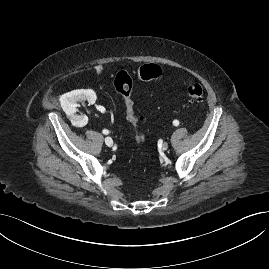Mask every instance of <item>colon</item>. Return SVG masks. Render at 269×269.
Segmentation results:
<instances>
[{"label": "colon", "instance_id": "obj_1", "mask_svg": "<svg viewBox=\"0 0 269 269\" xmlns=\"http://www.w3.org/2000/svg\"><path fill=\"white\" fill-rule=\"evenodd\" d=\"M162 75V70L157 65H145L139 70V77L143 80L157 79ZM115 89L121 95L127 120L137 129L140 117L134 110V102L132 99L133 79L131 75L126 71H119L113 81ZM187 94L191 101L199 102L202 100L204 91L200 84L194 83L188 86ZM136 140L141 143L144 140V135L140 131H136Z\"/></svg>", "mask_w": 269, "mask_h": 269}]
</instances>
